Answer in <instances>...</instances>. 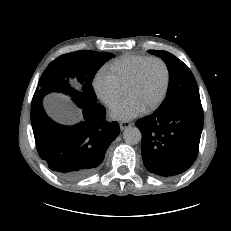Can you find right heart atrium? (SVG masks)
Masks as SVG:
<instances>
[{
    "instance_id": "1",
    "label": "right heart atrium",
    "mask_w": 231,
    "mask_h": 231,
    "mask_svg": "<svg viewBox=\"0 0 231 231\" xmlns=\"http://www.w3.org/2000/svg\"><path fill=\"white\" fill-rule=\"evenodd\" d=\"M93 88L98 98L106 105L111 106L123 95L114 77L105 69H100L93 80Z\"/></svg>"
}]
</instances>
